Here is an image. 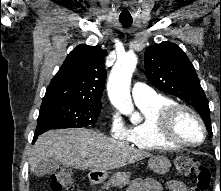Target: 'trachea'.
Wrapping results in <instances>:
<instances>
[{
    "mask_svg": "<svg viewBox=\"0 0 221 191\" xmlns=\"http://www.w3.org/2000/svg\"><path fill=\"white\" fill-rule=\"evenodd\" d=\"M120 23L124 26V27H129L132 25L133 20L132 19H119Z\"/></svg>",
    "mask_w": 221,
    "mask_h": 191,
    "instance_id": "obj_1",
    "label": "trachea"
}]
</instances>
